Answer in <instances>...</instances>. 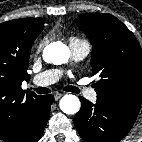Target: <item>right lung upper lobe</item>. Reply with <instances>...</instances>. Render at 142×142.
<instances>
[{
  "label": "right lung upper lobe",
  "mask_w": 142,
  "mask_h": 142,
  "mask_svg": "<svg viewBox=\"0 0 142 142\" xmlns=\"http://www.w3.org/2000/svg\"><path fill=\"white\" fill-rule=\"evenodd\" d=\"M43 18H22L0 24V138L15 140L37 112L42 96L21 89L28 81V60Z\"/></svg>",
  "instance_id": "1"
}]
</instances>
